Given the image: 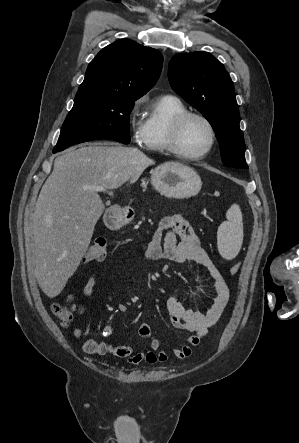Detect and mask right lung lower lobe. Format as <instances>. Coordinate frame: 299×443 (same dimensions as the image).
<instances>
[{"label": "right lung lower lobe", "mask_w": 299, "mask_h": 443, "mask_svg": "<svg viewBox=\"0 0 299 443\" xmlns=\"http://www.w3.org/2000/svg\"><path fill=\"white\" fill-rule=\"evenodd\" d=\"M53 152H54V153H56V152H58V151H56V150H53Z\"/></svg>", "instance_id": "obj_1"}]
</instances>
